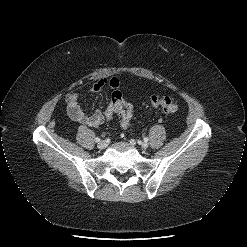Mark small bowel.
I'll list each match as a JSON object with an SVG mask.
<instances>
[{"mask_svg": "<svg viewBox=\"0 0 247 247\" xmlns=\"http://www.w3.org/2000/svg\"><path fill=\"white\" fill-rule=\"evenodd\" d=\"M104 86L109 87L112 90H118L120 88L126 89L127 86L123 82V78L120 75L112 76L108 78L100 79L92 88L91 92H98ZM68 114L70 118L79 124L89 126V127H98L103 124L105 120V113L97 110L92 114H86L78 102L77 94H71L69 96L68 104Z\"/></svg>", "mask_w": 247, "mask_h": 247, "instance_id": "c3829d8e", "label": "small bowel"}]
</instances>
